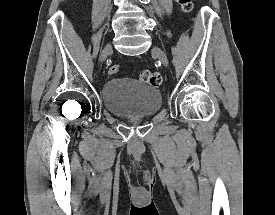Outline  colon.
Masks as SVG:
<instances>
[{
    "instance_id": "colon-1",
    "label": "colon",
    "mask_w": 275,
    "mask_h": 215,
    "mask_svg": "<svg viewBox=\"0 0 275 215\" xmlns=\"http://www.w3.org/2000/svg\"><path fill=\"white\" fill-rule=\"evenodd\" d=\"M178 3L184 12H190L193 8L191 0H178ZM118 71L119 66L117 64H112L108 69L110 75L116 74ZM140 79L154 88L159 87L162 83L161 74L150 70H143L140 73Z\"/></svg>"
}]
</instances>
